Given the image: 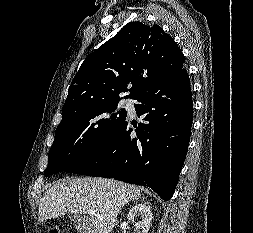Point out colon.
Returning <instances> with one entry per match:
<instances>
[{
    "label": "colon",
    "instance_id": "colon-1",
    "mask_svg": "<svg viewBox=\"0 0 253 233\" xmlns=\"http://www.w3.org/2000/svg\"><path fill=\"white\" fill-rule=\"evenodd\" d=\"M48 233H58L57 229L53 228Z\"/></svg>",
    "mask_w": 253,
    "mask_h": 233
}]
</instances>
